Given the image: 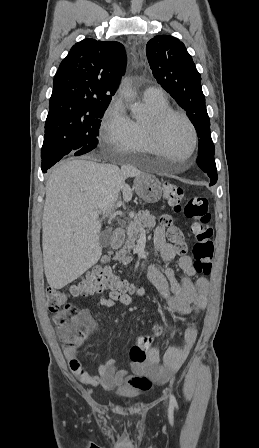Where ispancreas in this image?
Wrapping results in <instances>:
<instances>
[{"instance_id":"cf45deb5","label":"pancreas","mask_w":259,"mask_h":448,"mask_svg":"<svg viewBox=\"0 0 259 448\" xmlns=\"http://www.w3.org/2000/svg\"><path fill=\"white\" fill-rule=\"evenodd\" d=\"M155 224L156 218L151 216L150 212H138V214H135L134 222H131L126 230L127 240L125 246H123L120 252H116L115 260L122 262L123 266L130 264L133 258L132 256H126V254H129L130 250H133L134 246H136V242L140 238V234H142L141 228H153Z\"/></svg>"}]
</instances>
